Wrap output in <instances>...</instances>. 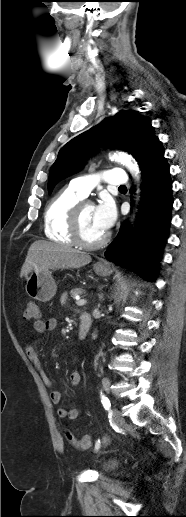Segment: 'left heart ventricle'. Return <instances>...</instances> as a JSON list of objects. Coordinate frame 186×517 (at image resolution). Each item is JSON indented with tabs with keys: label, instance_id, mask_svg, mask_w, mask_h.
Here are the masks:
<instances>
[{
	"label": "left heart ventricle",
	"instance_id": "left-heart-ventricle-1",
	"mask_svg": "<svg viewBox=\"0 0 186 517\" xmlns=\"http://www.w3.org/2000/svg\"><path fill=\"white\" fill-rule=\"evenodd\" d=\"M94 210V206L85 205L81 211V230L83 237L88 241H96L106 233L96 223Z\"/></svg>",
	"mask_w": 186,
	"mask_h": 517
}]
</instances>
